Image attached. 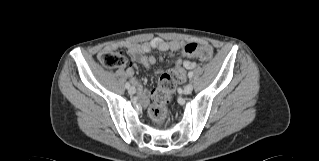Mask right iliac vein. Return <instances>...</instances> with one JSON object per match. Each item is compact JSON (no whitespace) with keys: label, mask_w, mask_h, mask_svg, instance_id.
I'll list each match as a JSON object with an SVG mask.
<instances>
[{"label":"right iliac vein","mask_w":319,"mask_h":161,"mask_svg":"<svg viewBox=\"0 0 319 161\" xmlns=\"http://www.w3.org/2000/svg\"><path fill=\"white\" fill-rule=\"evenodd\" d=\"M128 91L130 94H134L136 92V89H135V87L131 86V87H129Z\"/></svg>","instance_id":"63e3f726"}]
</instances>
